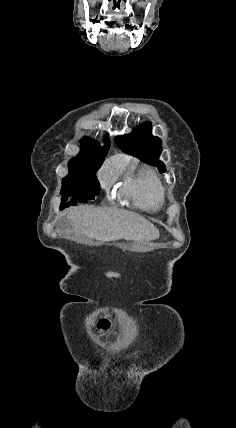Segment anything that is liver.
I'll list each match as a JSON object with an SVG mask.
<instances>
[{
	"instance_id": "liver-1",
	"label": "liver",
	"mask_w": 236,
	"mask_h": 428,
	"mask_svg": "<svg viewBox=\"0 0 236 428\" xmlns=\"http://www.w3.org/2000/svg\"><path fill=\"white\" fill-rule=\"evenodd\" d=\"M67 218L78 234L101 242H150L160 238V232L154 224L133 212H117L109 208H74Z\"/></svg>"
}]
</instances>
